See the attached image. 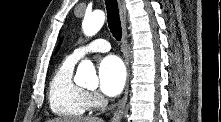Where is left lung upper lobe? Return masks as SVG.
<instances>
[{"label":"left lung upper lobe","mask_w":221,"mask_h":122,"mask_svg":"<svg viewBox=\"0 0 221 122\" xmlns=\"http://www.w3.org/2000/svg\"><path fill=\"white\" fill-rule=\"evenodd\" d=\"M61 42H62V39H61V41L59 42V44H58V47H57L56 51L59 49V47H60V45H61Z\"/></svg>","instance_id":"1"}]
</instances>
